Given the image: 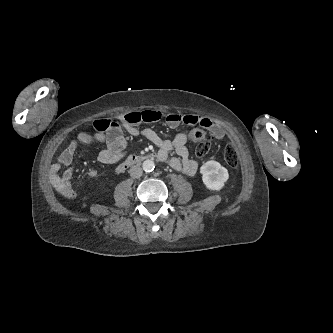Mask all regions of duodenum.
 I'll use <instances>...</instances> for the list:
<instances>
[{
	"mask_svg": "<svg viewBox=\"0 0 333 333\" xmlns=\"http://www.w3.org/2000/svg\"><path fill=\"white\" fill-rule=\"evenodd\" d=\"M155 157V154H147V155H130L126 158L124 162H122L116 169L118 173L125 171L127 168L139 164L145 160L152 159Z\"/></svg>",
	"mask_w": 333,
	"mask_h": 333,
	"instance_id": "duodenum-1",
	"label": "duodenum"
}]
</instances>
